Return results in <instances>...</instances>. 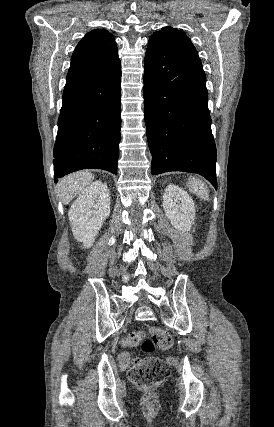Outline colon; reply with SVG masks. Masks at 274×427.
Segmentation results:
<instances>
[{
    "label": "colon",
    "mask_w": 274,
    "mask_h": 427,
    "mask_svg": "<svg viewBox=\"0 0 274 427\" xmlns=\"http://www.w3.org/2000/svg\"><path fill=\"white\" fill-rule=\"evenodd\" d=\"M141 345L147 355L157 349L166 350L173 344L172 336L161 328L152 327L149 336L142 331H132L123 337V345ZM171 374L170 366L156 356L138 358L129 370V379L138 388H148L165 382Z\"/></svg>",
    "instance_id": "5ec220e1"
}]
</instances>
